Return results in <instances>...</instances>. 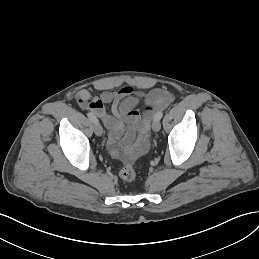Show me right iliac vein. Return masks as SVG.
Instances as JSON below:
<instances>
[{
  "instance_id": "obj_1",
  "label": "right iliac vein",
  "mask_w": 259,
  "mask_h": 259,
  "mask_svg": "<svg viewBox=\"0 0 259 259\" xmlns=\"http://www.w3.org/2000/svg\"><path fill=\"white\" fill-rule=\"evenodd\" d=\"M94 132H95V134L97 136H101L102 135L103 130H102V127H101L99 122L94 123Z\"/></svg>"
}]
</instances>
